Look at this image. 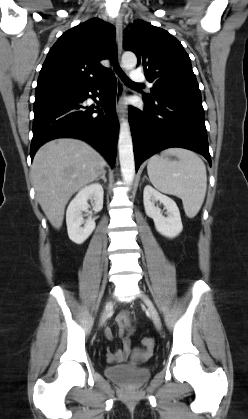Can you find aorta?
<instances>
[{
    "label": "aorta",
    "instance_id": "1",
    "mask_svg": "<svg viewBox=\"0 0 248 419\" xmlns=\"http://www.w3.org/2000/svg\"><path fill=\"white\" fill-rule=\"evenodd\" d=\"M137 64L136 55L132 52H125L122 55L121 65L124 69H133ZM119 160L124 183L132 184L135 176V161L133 153L132 137L129 123L121 119L118 139Z\"/></svg>",
    "mask_w": 248,
    "mask_h": 419
}]
</instances>
